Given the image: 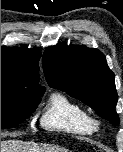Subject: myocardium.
<instances>
[{
    "mask_svg": "<svg viewBox=\"0 0 123 152\" xmlns=\"http://www.w3.org/2000/svg\"><path fill=\"white\" fill-rule=\"evenodd\" d=\"M93 124H94V127L96 128L100 125V122L98 120L93 119Z\"/></svg>",
    "mask_w": 123,
    "mask_h": 152,
    "instance_id": "obj_1",
    "label": "myocardium"
}]
</instances>
